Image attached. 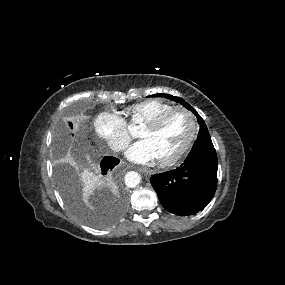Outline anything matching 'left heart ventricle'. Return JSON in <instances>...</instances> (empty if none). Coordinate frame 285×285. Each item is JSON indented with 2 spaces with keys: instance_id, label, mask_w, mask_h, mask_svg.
<instances>
[{
  "instance_id": "1",
  "label": "left heart ventricle",
  "mask_w": 285,
  "mask_h": 285,
  "mask_svg": "<svg viewBox=\"0 0 285 285\" xmlns=\"http://www.w3.org/2000/svg\"><path fill=\"white\" fill-rule=\"evenodd\" d=\"M190 129L189 120L179 112L172 115L158 129L144 126L139 136L152 144L157 159H161L173 155L182 147L190 134Z\"/></svg>"
}]
</instances>
